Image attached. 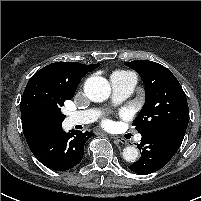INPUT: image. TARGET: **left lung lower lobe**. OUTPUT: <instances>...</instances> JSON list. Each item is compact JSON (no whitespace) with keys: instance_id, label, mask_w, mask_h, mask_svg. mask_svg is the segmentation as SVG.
Instances as JSON below:
<instances>
[{"instance_id":"0a47b994","label":"left lung lower lobe","mask_w":201,"mask_h":201,"mask_svg":"<svg viewBox=\"0 0 201 201\" xmlns=\"http://www.w3.org/2000/svg\"><path fill=\"white\" fill-rule=\"evenodd\" d=\"M186 129L178 127L160 128L142 134L138 145L140 159L129 169L140 175L153 173L164 167L180 147Z\"/></svg>"}]
</instances>
